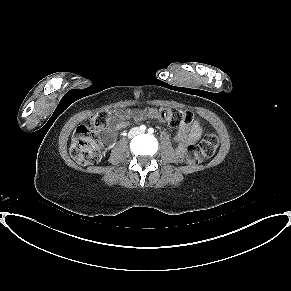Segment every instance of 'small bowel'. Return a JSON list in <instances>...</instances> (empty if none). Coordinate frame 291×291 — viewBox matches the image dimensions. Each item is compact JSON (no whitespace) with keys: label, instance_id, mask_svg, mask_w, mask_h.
Returning <instances> with one entry per match:
<instances>
[{"label":"small bowel","instance_id":"obj_1","mask_svg":"<svg viewBox=\"0 0 291 291\" xmlns=\"http://www.w3.org/2000/svg\"><path fill=\"white\" fill-rule=\"evenodd\" d=\"M153 115V111L150 112ZM142 118V114L131 110H120L116 113V123L112 129H109L105 133V141L111 143L115 138V131H119L127 127L129 120H139ZM203 132V128L197 119L193 120L191 124L182 126L176 135L178 142V153L182 154L186 146L190 143L196 142L200 139Z\"/></svg>","mask_w":291,"mask_h":291}]
</instances>
